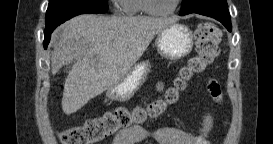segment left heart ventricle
Here are the masks:
<instances>
[{
    "label": "left heart ventricle",
    "instance_id": "b2bd125f",
    "mask_svg": "<svg viewBox=\"0 0 273 144\" xmlns=\"http://www.w3.org/2000/svg\"><path fill=\"white\" fill-rule=\"evenodd\" d=\"M175 0H151V7L156 10H169L174 5Z\"/></svg>",
    "mask_w": 273,
    "mask_h": 144
}]
</instances>
